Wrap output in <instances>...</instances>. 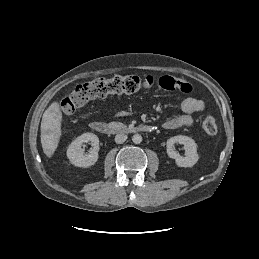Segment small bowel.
Instances as JSON below:
<instances>
[{
  "instance_id": "1",
  "label": "small bowel",
  "mask_w": 259,
  "mask_h": 259,
  "mask_svg": "<svg viewBox=\"0 0 259 259\" xmlns=\"http://www.w3.org/2000/svg\"><path fill=\"white\" fill-rule=\"evenodd\" d=\"M181 114L166 120L163 127L168 130L177 129L180 127H189L194 123V114L200 113L204 110L205 105L203 101L194 98L186 97L180 104ZM130 114V111H119L114 117H124Z\"/></svg>"
}]
</instances>
